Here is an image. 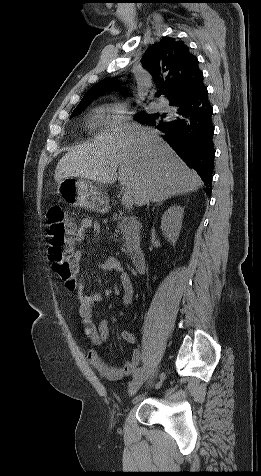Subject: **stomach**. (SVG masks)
Listing matches in <instances>:
<instances>
[{
	"label": "stomach",
	"instance_id": "1",
	"mask_svg": "<svg viewBox=\"0 0 261 476\" xmlns=\"http://www.w3.org/2000/svg\"><path fill=\"white\" fill-rule=\"evenodd\" d=\"M61 196L74 207L92 209L105 213L109 208V200L104 188L84 179L70 177L59 182Z\"/></svg>",
	"mask_w": 261,
	"mask_h": 476
}]
</instances>
